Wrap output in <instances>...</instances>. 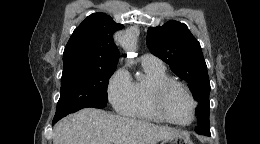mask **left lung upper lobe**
<instances>
[{
  "label": "left lung upper lobe",
  "instance_id": "left-lung-upper-lobe-1",
  "mask_svg": "<svg viewBox=\"0 0 260 144\" xmlns=\"http://www.w3.org/2000/svg\"><path fill=\"white\" fill-rule=\"evenodd\" d=\"M147 46L151 53L166 62L178 77L188 82L198 102L196 132L210 135L211 88L200 43L185 24L170 20L163 26L148 29Z\"/></svg>",
  "mask_w": 260,
  "mask_h": 144
}]
</instances>
